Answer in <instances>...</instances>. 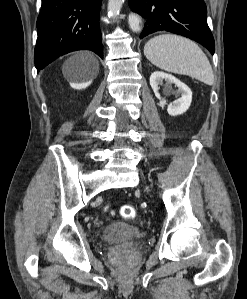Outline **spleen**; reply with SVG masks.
I'll return each mask as SVG.
<instances>
[{"mask_svg": "<svg viewBox=\"0 0 247 299\" xmlns=\"http://www.w3.org/2000/svg\"><path fill=\"white\" fill-rule=\"evenodd\" d=\"M144 55L156 67L180 75H188L213 85L214 74L202 49L192 40L172 34L158 35L144 47Z\"/></svg>", "mask_w": 247, "mask_h": 299, "instance_id": "obj_1", "label": "spleen"}]
</instances>
